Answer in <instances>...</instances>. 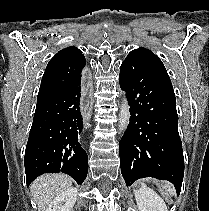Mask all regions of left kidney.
Masks as SVG:
<instances>
[{
  "label": "left kidney",
  "mask_w": 209,
  "mask_h": 211,
  "mask_svg": "<svg viewBox=\"0 0 209 211\" xmlns=\"http://www.w3.org/2000/svg\"><path fill=\"white\" fill-rule=\"evenodd\" d=\"M138 211H168L164 200L151 188L143 187L135 192Z\"/></svg>",
  "instance_id": "obj_1"
}]
</instances>
